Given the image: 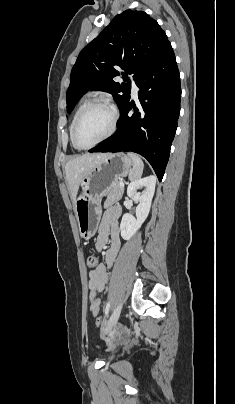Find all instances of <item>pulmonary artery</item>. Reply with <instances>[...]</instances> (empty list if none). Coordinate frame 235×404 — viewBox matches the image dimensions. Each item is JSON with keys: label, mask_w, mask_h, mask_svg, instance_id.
<instances>
[{"label": "pulmonary artery", "mask_w": 235, "mask_h": 404, "mask_svg": "<svg viewBox=\"0 0 235 404\" xmlns=\"http://www.w3.org/2000/svg\"><path fill=\"white\" fill-rule=\"evenodd\" d=\"M131 89H132V94L136 95L138 88H137L136 83L133 80L131 81Z\"/></svg>", "instance_id": "e3ab8cb5"}]
</instances>
